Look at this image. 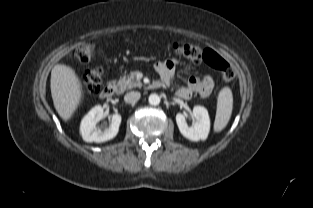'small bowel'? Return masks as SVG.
Masks as SVG:
<instances>
[{
  "label": "small bowel",
  "mask_w": 313,
  "mask_h": 208,
  "mask_svg": "<svg viewBox=\"0 0 313 208\" xmlns=\"http://www.w3.org/2000/svg\"><path fill=\"white\" fill-rule=\"evenodd\" d=\"M176 66L177 61L175 59H167L156 63L155 69L164 85L167 86L172 82ZM213 88L214 82L210 76L203 78L191 76L186 85L177 88L176 94L183 99H190L194 94L207 97Z\"/></svg>",
  "instance_id": "1"
}]
</instances>
